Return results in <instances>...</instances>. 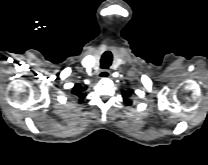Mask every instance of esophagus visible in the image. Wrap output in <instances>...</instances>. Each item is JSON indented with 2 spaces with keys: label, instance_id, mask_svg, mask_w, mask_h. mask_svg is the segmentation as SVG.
Wrapping results in <instances>:
<instances>
[{
  "label": "esophagus",
  "instance_id": "esophagus-1",
  "mask_svg": "<svg viewBox=\"0 0 208 165\" xmlns=\"http://www.w3.org/2000/svg\"><path fill=\"white\" fill-rule=\"evenodd\" d=\"M99 75H100L101 78H109L110 77V71L109 70H102Z\"/></svg>",
  "mask_w": 208,
  "mask_h": 165
}]
</instances>
